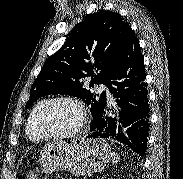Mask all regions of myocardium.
I'll list each match as a JSON object with an SVG mask.
<instances>
[{"label":"myocardium","instance_id":"myocardium-1","mask_svg":"<svg viewBox=\"0 0 183 179\" xmlns=\"http://www.w3.org/2000/svg\"><path fill=\"white\" fill-rule=\"evenodd\" d=\"M58 102H69V103L74 104L80 111V121H79L78 125L69 132L50 133V132L46 131V129L44 128L43 120H44L45 114L47 113L48 109L53 104L58 103ZM87 122H88V112H87L86 106L80 99H78L76 97H72V96H58V97H54V98L47 100L46 103L41 108V110L38 114V117H37V128H38L39 132L44 136V138L67 139V138H72V137L76 136L77 134H79L84 129Z\"/></svg>","mask_w":183,"mask_h":179}]
</instances>
